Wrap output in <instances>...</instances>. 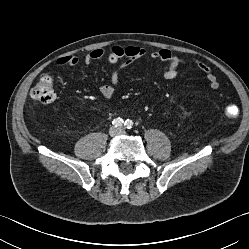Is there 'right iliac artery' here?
<instances>
[{
    "label": "right iliac artery",
    "mask_w": 249,
    "mask_h": 249,
    "mask_svg": "<svg viewBox=\"0 0 249 249\" xmlns=\"http://www.w3.org/2000/svg\"><path fill=\"white\" fill-rule=\"evenodd\" d=\"M112 124H113L115 127H121V126H123V124H124V120H123L122 118L118 117V118H116V119H114V120L112 121Z\"/></svg>",
    "instance_id": "right-iliac-artery-1"
}]
</instances>
